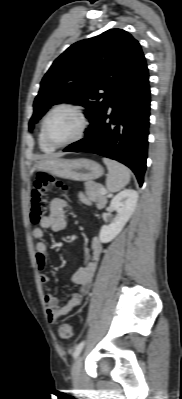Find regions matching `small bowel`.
Listing matches in <instances>:
<instances>
[{"instance_id":"c3829d8e","label":"small bowel","mask_w":182,"mask_h":399,"mask_svg":"<svg viewBox=\"0 0 182 399\" xmlns=\"http://www.w3.org/2000/svg\"><path fill=\"white\" fill-rule=\"evenodd\" d=\"M80 199L86 204L91 201L81 195ZM67 202L60 197L53 198L50 201L49 214L45 216L40 226L33 230V237L38 242L35 247L36 264L40 271V281L49 283L50 277L44 272L48 265L47 244L44 242L45 229L53 231H62L66 227L65 209ZM102 254V244L98 238H92L90 241V257L85 266L78 269L72 276V281L80 290L74 293L67 303L60 305L58 299L52 294L45 295L47 306V318L50 323L58 322L63 316L67 315L73 308L82 303L83 295L89 292L91 284L96 273L100 256Z\"/></svg>"}]
</instances>
